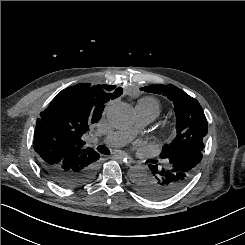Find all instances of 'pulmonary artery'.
Instances as JSON below:
<instances>
[{"mask_svg":"<svg viewBox=\"0 0 245 245\" xmlns=\"http://www.w3.org/2000/svg\"><path fill=\"white\" fill-rule=\"evenodd\" d=\"M137 122L139 125H146L156 118V114L150 110L136 106ZM134 136L133 130H121L110 133L104 141L112 147L122 146L128 143Z\"/></svg>","mask_w":245,"mask_h":245,"instance_id":"e3ab8cb5","label":"pulmonary artery"}]
</instances>
